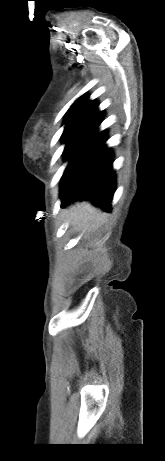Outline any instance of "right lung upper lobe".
Listing matches in <instances>:
<instances>
[{"instance_id":"obj_1","label":"right lung upper lobe","mask_w":165,"mask_h":461,"mask_svg":"<svg viewBox=\"0 0 165 461\" xmlns=\"http://www.w3.org/2000/svg\"><path fill=\"white\" fill-rule=\"evenodd\" d=\"M103 115V111L98 110L95 100H89L88 96L82 95L71 105L65 117L67 119L75 116H92L103 119Z\"/></svg>"}]
</instances>
